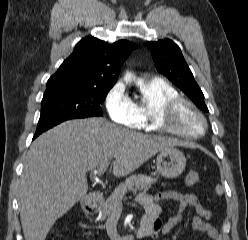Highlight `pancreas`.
<instances>
[{
  "mask_svg": "<svg viewBox=\"0 0 248 240\" xmlns=\"http://www.w3.org/2000/svg\"><path fill=\"white\" fill-rule=\"evenodd\" d=\"M156 179L146 175H132L121 183L110 197L103 203L101 209V220H105L112 212L122 204V200L126 193L131 191L136 193L137 190L146 192Z\"/></svg>",
  "mask_w": 248,
  "mask_h": 240,
  "instance_id": "1",
  "label": "pancreas"
}]
</instances>
